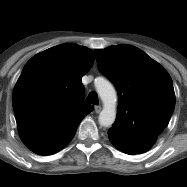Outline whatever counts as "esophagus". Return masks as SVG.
<instances>
[{"label": "esophagus", "instance_id": "esophagus-1", "mask_svg": "<svg viewBox=\"0 0 187 187\" xmlns=\"http://www.w3.org/2000/svg\"><path fill=\"white\" fill-rule=\"evenodd\" d=\"M94 109H95L96 113H99L101 111L102 107L101 106H95Z\"/></svg>", "mask_w": 187, "mask_h": 187}]
</instances>
